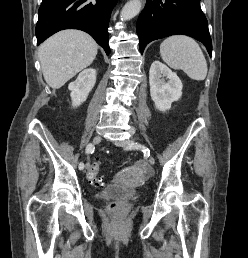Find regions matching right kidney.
Segmentation results:
<instances>
[{"mask_svg":"<svg viewBox=\"0 0 248 258\" xmlns=\"http://www.w3.org/2000/svg\"><path fill=\"white\" fill-rule=\"evenodd\" d=\"M96 82V70L88 68L83 70L74 82H71L68 89L71 91L72 105H81L88 97Z\"/></svg>","mask_w":248,"mask_h":258,"instance_id":"1","label":"right kidney"}]
</instances>
